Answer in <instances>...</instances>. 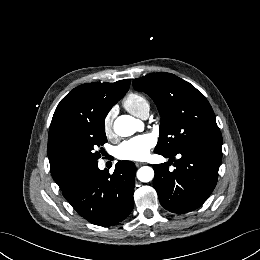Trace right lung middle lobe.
<instances>
[{"label":"right lung middle lobe","mask_w":260,"mask_h":260,"mask_svg":"<svg viewBox=\"0 0 260 260\" xmlns=\"http://www.w3.org/2000/svg\"><path fill=\"white\" fill-rule=\"evenodd\" d=\"M107 142L104 119L83 125L73 142L71 156L78 172L95 166L101 157L98 147Z\"/></svg>","instance_id":"right-lung-middle-lobe-1"}]
</instances>
